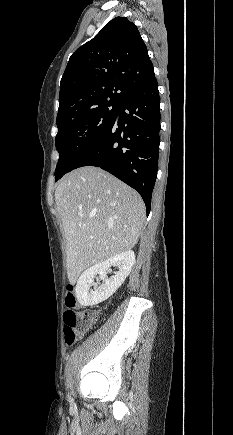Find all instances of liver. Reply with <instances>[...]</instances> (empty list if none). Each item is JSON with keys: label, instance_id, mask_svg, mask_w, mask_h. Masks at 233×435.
<instances>
[{"label": "liver", "instance_id": "1", "mask_svg": "<svg viewBox=\"0 0 233 435\" xmlns=\"http://www.w3.org/2000/svg\"><path fill=\"white\" fill-rule=\"evenodd\" d=\"M55 202L66 239L70 283L92 265L132 249L145 222L141 196L94 166L78 168L59 183Z\"/></svg>", "mask_w": 233, "mask_h": 435}]
</instances>
